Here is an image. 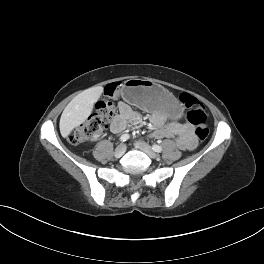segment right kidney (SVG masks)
Returning a JSON list of instances; mask_svg holds the SVG:
<instances>
[{
  "label": "right kidney",
  "mask_w": 264,
  "mask_h": 264,
  "mask_svg": "<svg viewBox=\"0 0 264 264\" xmlns=\"http://www.w3.org/2000/svg\"><path fill=\"white\" fill-rule=\"evenodd\" d=\"M97 138H98V136L96 135V136H94L93 140H97Z\"/></svg>",
  "instance_id": "obj_1"
}]
</instances>
